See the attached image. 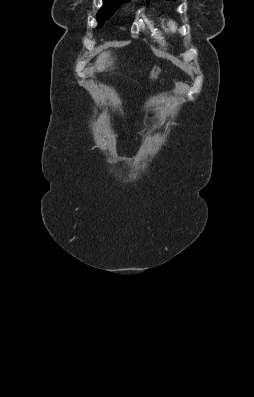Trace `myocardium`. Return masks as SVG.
Segmentation results:
<instances>
[{
	"label": "myocardium",
	"mask_w": 254,
	"mask_h": 397,
	"mask_svg": "<svg viewBox=\"0 0 254 397\" xmlns=\"http://www.w3.org/2000/svg\"><path fill=\"white\" fill-rule=\"evenodd\" d=\"M168 26H169V28L171 30L174 31V30L177 29L178 24H177V22L175 20L171 19V20L168 21Z\"/></svg>",
	"instance_id": "1"
}]
</instances>
